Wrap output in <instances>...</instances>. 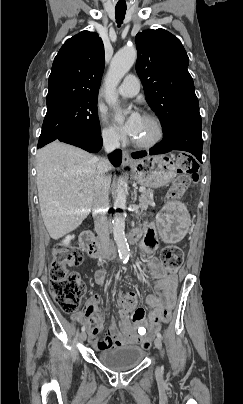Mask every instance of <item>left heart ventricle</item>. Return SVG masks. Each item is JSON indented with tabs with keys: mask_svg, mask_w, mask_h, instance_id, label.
I'll return each instance as SVG.
<instances>
[{
	"mask_svg": "<svg viewBox=\"0 0 243 404\" xmlns=\"http://www.w3.org/2000/svg\"><path fill=\"white\" fill-rule=\"evenodd\" d=\"M157 133L156 125L153 121L143 117L142 124L135 141L147 142L152 140Z\"/></svg>",
	"mask_w": 243,
	"mask_h": 404,
	"instance_id": "b2bd125f",
	"label": "left heart ventricle"
}]
</instances>
